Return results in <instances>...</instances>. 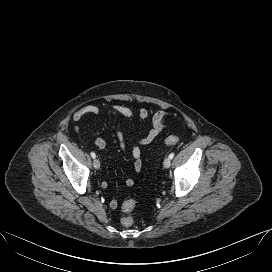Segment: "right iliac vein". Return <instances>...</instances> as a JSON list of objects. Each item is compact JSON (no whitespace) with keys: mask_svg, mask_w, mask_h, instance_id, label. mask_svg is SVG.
Listing matches in <instances>:
<instances>
[{"mask_svg":"<svg viewBox=\"0 0 272 272\" xmlns=\"http://www.w3.org/2000/svg\"><path fill=\"white\" fill-rule=\"evenodd\" d=\"M93 167L95 169H99L100 168V161L98 159H94V161H93Z\"/></svg>","mask_w":272,"mask_h":272,"instance_id":"obj_1","label":"right iliac vein"}]
</instances>
